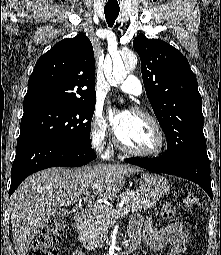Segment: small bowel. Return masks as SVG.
<instances>
[{
  "label": "small bowel",
  "mask_w": 221,
  "mask_h": 255,
  "mask_svg": "<svg viewBox=\"0 0 221 255\" xmlns=\"http://www.w3.org/2000/svg\"><path fill=\"white\" fill-rule=\"evenodd\" d=\"M174 213L175 209L171 203L163 205L161 214L164 218L169 219L164 227H154L151 218L133 217L128 228L130 239L138 238L140 242H144L155 250L170 245L169 255H182L187 250L190 235L183 229L179 220L173 219ZM72 255L85 254L80 250H76Z\"/></svg>",
  "instance_id": "c3829d8e"
}]
</instances>
